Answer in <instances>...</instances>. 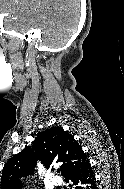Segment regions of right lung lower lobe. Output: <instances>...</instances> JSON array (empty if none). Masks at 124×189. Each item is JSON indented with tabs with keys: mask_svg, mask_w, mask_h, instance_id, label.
I'll return each instance as SVG.
<instances>
[{
	"mask_svg": "<svg viewBox=\"0 0 124 189\" xmlns=\"http://www.w3.org/2000/svg\"><path fill=\"white\" fill-rule=\"evenodd\" d=\"M65 180L72 182L69 186L73 189H98L89 160L78 170L68 174Z\"/></svg>",
	"mask_w": 124,
	"mask_h": 189,
	"instance_id": "right-lung-lower-lobe-1",
	"label": "right lung lower lobe"
}]
</instances>
